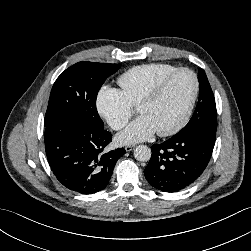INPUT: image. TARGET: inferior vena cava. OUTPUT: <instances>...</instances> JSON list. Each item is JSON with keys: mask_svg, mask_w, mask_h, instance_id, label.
<instances>
[{"mask_svg": "<svg viewBox=\"0 0 251 251\" xmlns=\"http://www.w3.org/2000/svg\"><path fill=\"white\" fill-rule=\"evenodd\" d=\"M121 127H123V124H117V125L115 126V129H119V128H121Z\"/></svg>", "mask_w": 251, "mask_h": 251, "instance_id": "inferior-vena-cava-1", "label": "inferior vena cava"}]
</instances>
